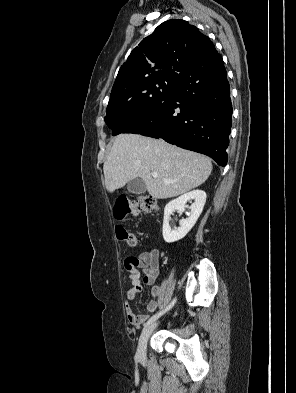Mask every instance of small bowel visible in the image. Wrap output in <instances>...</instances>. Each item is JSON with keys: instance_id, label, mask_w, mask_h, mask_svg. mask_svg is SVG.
Instances as JSON below:
<instances>
[{"instance_id": "1", "label": "small bowel", "mask_w": 296, "mask_h": 393, "mask_svg": "<svg viewBox=\"0 0 296 393\" xmlns=\"http://www.w3.org/2000/svg\"><path fill=\"white\" fill-rule=\"evenodd\" d=\"M125 271L131 281V288L126 292L125 309L127 319L131 325L139 328L148 319L146 314H135L130 303L135 299L137 293L143 290V284L154 285L159 274V251L153 248L149 251H143L138 256H128L124 260ZM161 289L153 286L151 289L152 299L146 305L147 312H155L158 308V297Z\"/></svg>"}]
</instances>
